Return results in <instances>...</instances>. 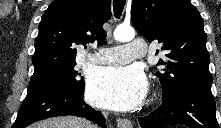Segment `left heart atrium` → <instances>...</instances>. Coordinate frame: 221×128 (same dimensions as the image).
Segmentation results:
<instances>
[{
    "label": "left heart atrium",
    "instance_id": "1",
    "mask_svg": "<svg viewBox=\"0 0 221 128\" xmlns=\"http://www.w3.org/2000/svg\"><path fill=\"white\" fill-rule=\"evenodd\" d=\"M87 95L100 107L129 111L144 100L146 79L137 67L100 68L88 78Z\"/></svg>",
    "mask_w": 221,
    "mask_h": 128
}]
</instances>
